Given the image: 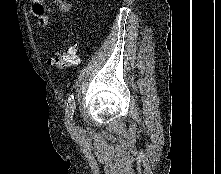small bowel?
Wrapping results in <instances>:
<instances>
[{"mask_svg":"<svg viewBox=\"0 0 221 174\" xmlns=\"http://www.w3.org/2000/svg\"><path fill=\"white\" fill-rule=\"evenodd\" d=\"M33 3L32 13L37 18L38 24L41 27H48L51 22V16L48 13L45 0H30ZM57 4L60 13H68L71 5L67 0H53Z\"/></svg>","mask_w":221,"mask_h":174,"instance_id":"small-bowel-1","label":"small bowel"}]
</instances>
